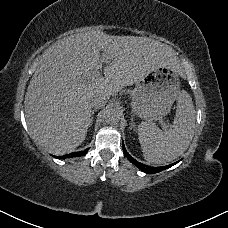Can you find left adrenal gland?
<instances>
[{
	"mask_svg": "<svg viewBox=\"0 0 228 228\" xmlns=\"http://www.w3.org/2000/svg\"><path fill=\"white\" fill-rule=\"evenodd\" d=\"M131 123H130V129L134 128L135 127V123H134V119H133V115H131Z\"/></svg>",
	"mask_w": 228,
	"mask_h": 228,
	"instance_id": "obj_1",
	"label": "left adrenal gland"
}]
</instances>
